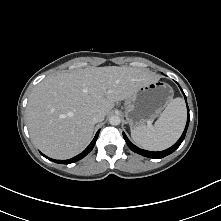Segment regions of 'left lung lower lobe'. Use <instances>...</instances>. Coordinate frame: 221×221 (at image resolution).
<instances>
[{
	"instance_id": "obj_1",
	"label": "left lung lower lobe",
	"mask_w": 221,
	"mask_h": 221,
	"mask_svg": "<svg viewBox=\"0 0 221 221\" xmlns=\"http://www.w3.org/2000/svg\"><path fill=\"white\" fill-rule=\"evenodd\" d=\"M181 91H182V89H181ZM183 94H184V92H183ZM184 97H185V100H186L185 94H184ZM186 102H187V100H186ZM187 111H188V116H187V123H186V127L184 129V132L182 133L180 139L172 147H170L169 149H166L164 151H159V152H152V151L143 150V149H140L137 146H135L133 143H131L130 140L125 135V133H123V137H124L127 145L129 146V148L132 151H134V152H136V153H138L140 155H143L145 157H150V158H155V159L163 158V157L173 153L180 146L182 141L184 140L186 132H187V128H188V125H189V119H190L188 105H187Z\"/></svg>"
}]
</instances>
